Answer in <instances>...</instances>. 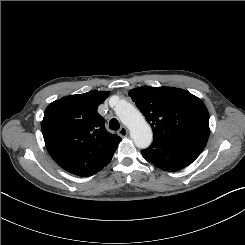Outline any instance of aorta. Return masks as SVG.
Returning <instances> with one entry per match:
<instances>
[{"label": "aorta", "mask_w": 245, "mask_h": 245, "mask_svg": "<svg viewBox=\"0 0 245 245\" xmlns=\"http://www.w3.org/2000/svg\"><path fill=\"white\" fill-rule=\"evenodd\" d=\"M115 112L121 122L129 128L134 144L141 149L147 148L152 142L153 135L143 115L127 102H119L115 106Z\"/></svg>", "instance_id": "762f6f07"}]
</instances>
